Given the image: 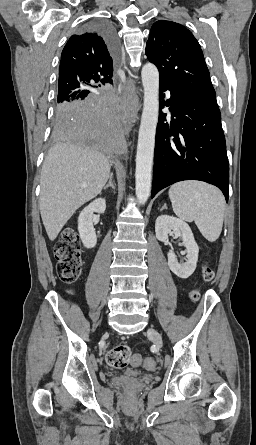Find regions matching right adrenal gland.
<instances>
[{
	"label": "right adrenal gland",
	"instance_id": "1",
	"mask_svg": "<svg viewBox=\"0 0 256 445\" xmlns=\"http://www.w3.org/2000/svg\"><path fill=\"white\" fill-rule=\"evenodd\" d=\"M109 187H111L113 190H115V186H114V183H113V174L112 173H110V175H109V182H108V184L106 186H104L103 189L105 190V189H107Z\"/></svg>",
	"mask_w": 256,
	"mask_h": 445
}]
</instances>
